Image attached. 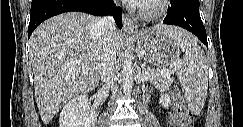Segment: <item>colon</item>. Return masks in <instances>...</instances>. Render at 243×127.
Returning a JSON list of instances; mask_svg holds the SVG:
<instances>
[{"instance_id":"1","label":"colon","mask_w":243,"mask_h":127,"mask_svg":"<svg viewBox=\"0 0 243 127\" xmlns=\"http://www.w3.org/2000/svg\"><path fill=\"white\" fill-rule=\"evenodd\" d=\"M173 111L170 114V125L172 127H190L191 126V112L183 103L179 93L174 92L173 96Z\"/></svg>"}]
</instances>
